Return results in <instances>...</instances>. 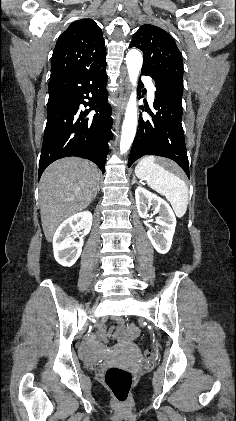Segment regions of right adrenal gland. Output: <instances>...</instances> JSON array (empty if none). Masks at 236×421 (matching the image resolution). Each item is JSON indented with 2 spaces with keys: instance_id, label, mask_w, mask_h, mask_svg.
I'll list each match as a JSON object with an SVG mask.
<instances>
[{
  "instance_id": "1",
  "label": "right adrenal gland",
  "mask_w": 236,
  "mask_h": 421,
  "mask_svg": "<svg viewBox=\"0 0 236 421\" xmlns=\"http://www.w3.org/2000/svg\"><path fill=\"white\" fill-rule=\"evenodd\" d=\"M97 192H100V184H97V190L95 192V196H96ZM95 196H94V198H95Z\"/></svg>"
}]
</instances>
